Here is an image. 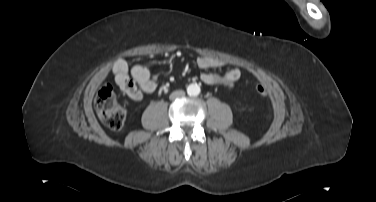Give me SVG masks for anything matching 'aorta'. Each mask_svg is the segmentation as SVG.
Masks as SVG:
<instances>
[{
	"mask_svg": "<svg viewBox=\"0 0 376 202\" xmlns=\"http://www.w3.org/2000/svg\"><path fill=\"white\" fill-rule=\"evenodd\" d=\"M187 93L190 96H197L200 94V87L198 84H190L187 87Z\"/></svg>",
	"mask_w": 376,
	"mask_h": 202,
	"instance_id": "1",
	"label": "aorta"
}]
</instances>
